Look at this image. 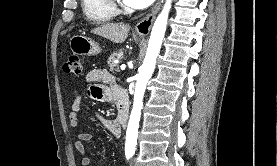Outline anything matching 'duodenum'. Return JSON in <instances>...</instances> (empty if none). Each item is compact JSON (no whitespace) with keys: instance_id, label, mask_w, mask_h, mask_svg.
<instances>
[{"instance_id":"duodenum-1","label":"duodenum","mask_w":277,"mask_h":166,"mask_svg":"<svg viewBox=\"0 0 277 166\" xmlns=\"http://www.w3.org/2000/svg\"><path fill=\"white\" fill-rule=\"evenodd\" d=\"M115 103L118 108V126L124 128L129 117V98L125 91L118 89L115 95Z\"/></svg>"}]
</instances>
